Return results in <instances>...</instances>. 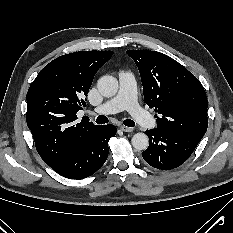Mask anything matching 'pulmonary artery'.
Segmentation results:
<instances>
[{
    "label": "pulmonary artery",
    "mask_w": 233,
    "mask_h": 233,
    "mask_svg": "<svg viewBox=\"0 0 233 233\" xmlns=\"http://www.w3.org/2000/svg\"><path fill=\"white\" fill-rule=\"evenodd\" d=\"M122 110H127L140 125L147 129L153 128L156 124L155 119L138 105L136 79L128 71H121L119 73L118 93L113 98L96 107L94 112L108 115Z\"/></svg>",
    "instance_id": "pulmonary-artery-1"
}]
</instances>
